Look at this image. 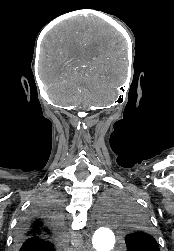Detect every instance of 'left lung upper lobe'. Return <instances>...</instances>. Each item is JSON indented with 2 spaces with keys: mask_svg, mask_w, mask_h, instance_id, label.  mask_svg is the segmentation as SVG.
<instances>
[{
  "mask_svg": "<svg viewBox=\"0 0 174 251\" xmlns=\"http://www.w3.org/2000/svg\"><path fill=\"white\" fill-rule=\"evenodd\" d=\"M127 217L134 224L133 231L125 239L127 251H160L148 221L135 206L129 205Z\"/></svg>",
  "mask_w": 174,
  "mask_h": 251,
  "instance_id": "5c2ea615",
  "label": "left lung upper lobe"
}]
</instances>
